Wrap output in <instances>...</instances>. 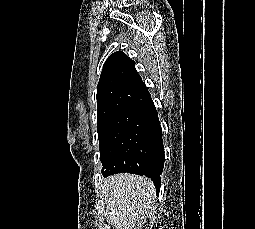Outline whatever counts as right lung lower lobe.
Listing matches in <instances>:
<instances>
[{
  "instance_id": "right-lung-lower-lobe-1",
  "label": "right lung lower lobe",
  "mask_w": 255,
  "mask_h": 229,
  "mask_svg": "<svg viewBox=\"0 0 255 229\" xmlns=\"http://www.w3.org/2000/svg\"><path fill=\"white\" fill-rule=\"evenodd\" d=\"M125 114L142 122L146 129L156 132L157 138L151 148L146 164L142 167H133L124 172L149 177L153 181L158 195L161 185L160 175L162 174L165 156L162 141V129L159 123L157 110L152 100H150L142 105L130 108Z\"/></svg>"
}]
</instances>
